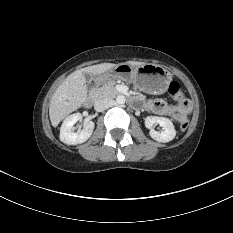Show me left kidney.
<instances>
[{
    "label": "left kidney",
    "mask_w": 233,
    "mask_h": 233,
    "mask_svg": "<svg viewBox=\"0 0 233 233\" xmlns=\"http://www.w3.org/2000/svg\"><path fill=\"white\" fill-rule=\"evenodd\" d=\"M155 124H159L163 131L158 132L153 129ZM146 128L150 129V136L154 140L162 143L169 142L173 140L176 136V130L172 121L165 117H157V116H148L145 119Z\"/></svg>",
    "instance_id": "left-kidney-1"
}]
</instances>
